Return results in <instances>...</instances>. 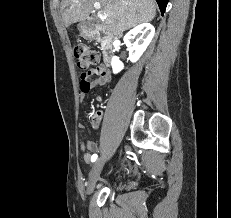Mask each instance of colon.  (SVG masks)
Segmentation results:
<instances>
[{"label":"colon","mask_w":231,"mask_h":218,"mask_svg":"<svg viewBox=\"0 0 231 218\" xmlns=\"http://www.w3.org/2000/svg\"><path fill=\"white\" fill-rule=\"evenodd\" d=\"M74 56L77 60V65L80 70L82 69H94V66H98L100 62L99 53L86 46V45H76L74 47ZM90 122L95 125L98 120V115L94 112L89 113Z\"/></svg>","instance_id":"5ec220e1"}]
</instances>
